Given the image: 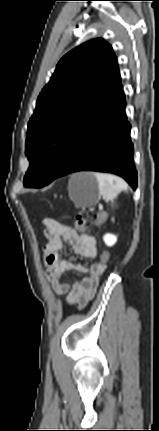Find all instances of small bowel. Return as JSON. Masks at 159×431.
<instances>
[{"mask_svg":"<svg viewBox=\"0 0 159 431\" xmlns=\"http://www.w3.org/2000/svg\"><path fill=\"white\" fill-rule=\"evenodd\" d=\"M47 243L44 246V261L49 272V279L56 294H67L66 304L69 306H84L95 294L100 276L107 273L104 259L96 264L85 267L67 259H61L59 252L64 242L71 245L74 254L94 259L98 255L97 243L93 236L80 235L71 226L62 224L54 219H45ZM68 271H76L85 276L72 283L63 282L61 278Z\"/></svg>","mask_w":159,"mask_h":431,"instance_id":"1","label":"small bowel"}]
</instances>
